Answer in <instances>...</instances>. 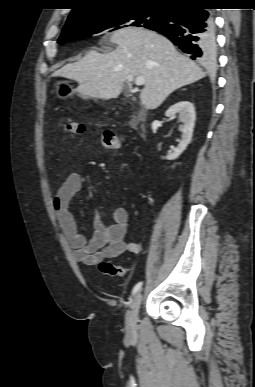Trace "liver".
Wrapping results in <instances>:
<instances>
[{
	"label": "liver",
	"instance_id": "6515ba94",
	"mask_svg": "<svg viewBox=\"0 0 255 387\" xmlns=\"http://www.w3.org/2000/svg\"><path fill=\"white\" fill-rule=\"evenodd\" d=\"M110 42L117 45L115 50H91L55 75L77 81L75 92L98 99L117 98L128 77H144L140 100L148 110L158 108L175 90L205 77L197 64L154 31L123 28L113 32Z\"/></svg>",
	"mask_w": 255,
	"mask_h": 387
}]
</instances>
